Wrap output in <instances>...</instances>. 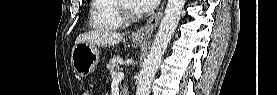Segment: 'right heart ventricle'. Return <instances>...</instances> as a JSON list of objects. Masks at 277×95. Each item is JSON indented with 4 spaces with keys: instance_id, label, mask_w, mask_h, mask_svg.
Instances as JSON below:
<instances>
[{
    "instance_id": "1",
    "label": "right heart ventricle",
    "mask_w": 277,
    "mask_h": 95,
    "mask_svg": "<svg viewBox=\"0 0 277 95\" xmlns=\"http://www.w3.org/2000/svg\"><path fill=\"white\" fill-rule=\"evenodd\" d=\"M117 0H92L89 25L93 29L113 30L123 24L117 15L115 4Z\"/></svg>"
}]
</instances>
